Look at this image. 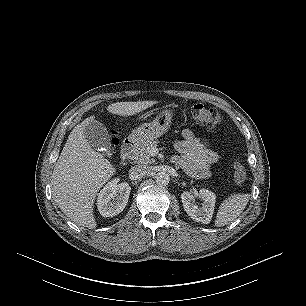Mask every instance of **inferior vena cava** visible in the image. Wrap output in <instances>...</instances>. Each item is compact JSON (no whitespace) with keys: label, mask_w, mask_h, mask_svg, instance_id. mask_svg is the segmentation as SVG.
<instances>
[{"label":"inferior vena cava","mask_w":306,"mask_h":306,"mask_svg":"<svg viewBox=\"0 0 306 306\" xmlns=\"http://www.w3.org/2000/svg\"><path fill=\"white\" fill-rule=\"evenodd\" d=\"M130 176L133 179H140L151 172V168L147 165H135L129 170Z\"/></svg>","instance_id":"1"}]
</instances>
